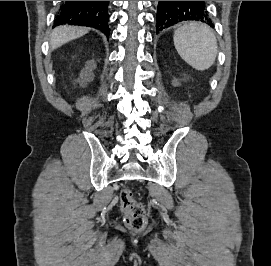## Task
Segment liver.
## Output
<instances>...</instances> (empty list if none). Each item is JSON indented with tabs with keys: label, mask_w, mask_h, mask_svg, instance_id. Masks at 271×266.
<instances>
[{
	"label": "liver",
	"mask_w": 271,
	"mask_h": 266,
	"mask_svg": "<svg viewBox=\"0 0 271 266\" xmlns=\"http://www.w3.org/2000/svg\"><path fill=\"white\" fill-rule=\"evenodd\" d=\"M88 28L77 26H59L53 30L50 36L51 49L54 50L63 44L85 35Z\"/></svg>",
	"instance_id": "1"
}]
</instances>
